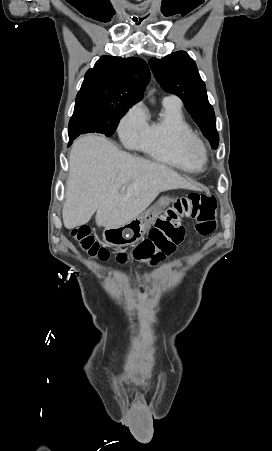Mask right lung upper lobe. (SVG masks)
Returning <instances> with one entry per match:
<instances>
[{
    "instance_id": "obj_1",
    "label": "right lung upper lobe",
    "mask_w": 272,
    "mask_h": 451,
    "mask_svg": "<svg viewBox=\"0 0 272 451\" xmlns=\"http://www.w3.org/2000/svg\"><path fill=\"white\" fill-rule=\"evenodd\" d=\"M150 71L137 57L102 56L85 74L76 104H104L131 107L143 98Z\"/></svg>"
}]
</instances>
